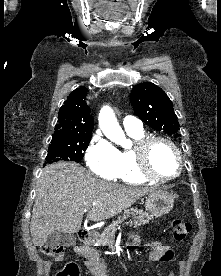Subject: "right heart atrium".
Here are the masks:
<instances>
[{"mask_svg":"<svg viewBox=\"0 0 221 276\" xmlns=\"http://www.w3.org/2000/svg\"><path fill=\"white\" fill-rule=\"evenodd\" d=\"M86 163L96 175L113 180L119 167V151L107 139L100 135L94 136L86 151Z\"/></svg>","mask_w":221,"mask_h":276,"instance_id":"right-heart-atrium-1","label":"right heart atrium"}]
</instances>
